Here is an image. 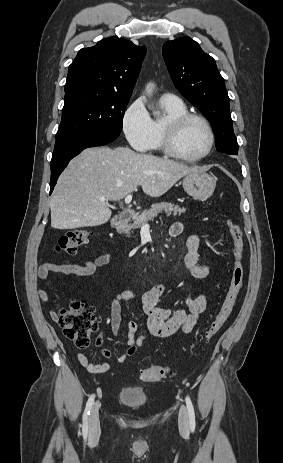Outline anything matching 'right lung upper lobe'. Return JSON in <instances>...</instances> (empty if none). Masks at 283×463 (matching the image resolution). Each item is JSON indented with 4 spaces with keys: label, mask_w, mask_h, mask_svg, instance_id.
I'll return each mask as SVG.
<instances>
[{
    "label": "right lung upper lobe",
    "mask_w": 283,
    "mask_h": 463,
    "mask_svg": "<svg viewBox=\"0 0 283 463\" xmlns=\"http://www.w3.org/2000/svg\"><path fill=\"white\" fill-rule=\"evenodd\" d=\"M145 54L144 46L116 37L80 49L68 69L65 97L89 91L130 98Z\"/></svg>",
    "instance_id": "right-lung-upper-lobe-1"
}]
</instances>
